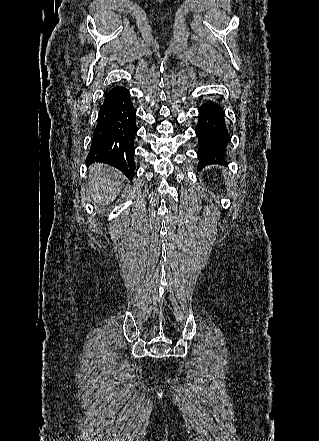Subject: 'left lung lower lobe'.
Wrapping results in <instances>:
<instances>
[{
    "instance_id": "obj_1",
    "label": "left lung lower lobe",
    "mask_w": 319,
    "mask_h": 441,
    "mask_svg": "<svg viewBox=\"0 0 319 441\" xmlns=\"http://www.w3.org/2000/svg\"><path fill=\"white\" fill-rule=\"evenodd\" d=\"M224 115L223 109L212 101L205 102L199 109V121L195 129L199 146V169L207 164H225L230 136Z\"/></svg>"
}]
</instances>
